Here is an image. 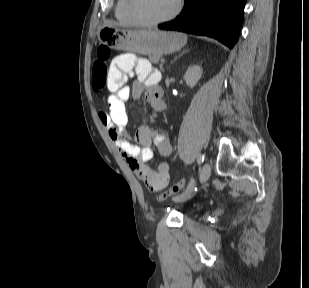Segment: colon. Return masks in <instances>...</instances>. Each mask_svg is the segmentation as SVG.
Instances as JSON below:
<instances>
[{"mask_svg": "<svg viewBox=\"0 0 309 288\" xmlns=\"http://www.w3.org/2000/svg\"><path fill=\"white\" fill-rule=\"evenodd\" d=\"M97 54L98 59L92 66V86L95 91H102L106 88L108 83L109 68L107 62L112 55V51L108 46H100ZM186 184L187 181L185 179H181L167 190L161 192L156 199L158 201H163L173 197L184 189Z\"/></svg>", "mask_w": 309, "mask_h": 288, "instance_id": "colon-1", "label": "colon"}]
</instances>
